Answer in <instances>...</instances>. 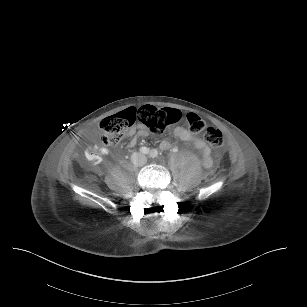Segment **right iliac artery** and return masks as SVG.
<instances>
[{"mask_svg": "<svg viewBox=\"0 0 307 307\" xmlns=\"http://www.w3.org/2000/svg\"><path fill=\"white\" fill-rule=\"evenodd\" d=\"M140 152L143 154H149L150 153V149L147 147H141L140 148Z\"/></svg>", "mask_w": 307, "mask_h": 307, "instance_id": "obj_1", "label": "right iliac artery"}]
</instances>
